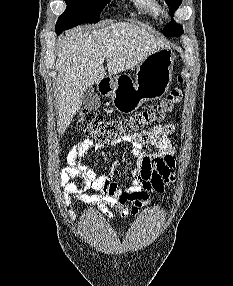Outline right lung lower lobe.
I'll use <instances>...</instances> for the list:
<instances>
[{
	"label": "right lung lower lobe",
	"mask_w": 233,
	"mask_h": 286,
	"mask_svg": "<svg viewBox=\"0 0 233 286\" xmlns=\"http://www.w3.org/2000/svg\"><path fill=\"white\" fill-rule=\"evenodd\" d=\"M57 30V34H60L62 31L69 29L67 27H62V28H55Z\"/></svg>",
	"instance_id": "1"
}]
</instances>
